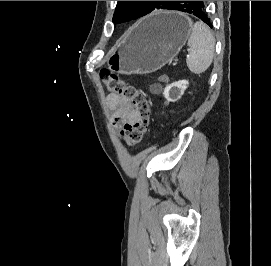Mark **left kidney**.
Wrapping results in <instances>:
<instances>
[{"instance_id":"5707ae66","label":"left kidney","mask_w":271,"mask_h":266,"mask_svg":"<svg viewBox=\"0 0 271 266\" xmlns=\"http://www.w3.org/2000/svg\"><path fill=\"white\" fill-rule=\"evenodd\" d=\"M186 88H187V86L184 81L175 82V83L169 85L165 89L164 96L168 101L174 102V101H176V99L180 98V95L183 94V92L186 90ZM178 90H180V93L178 96H171L170 95V92H176Z\"/></svg>"}]
</instances>
